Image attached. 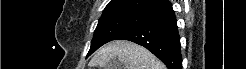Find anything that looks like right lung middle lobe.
Wrapping results in <instances>:
<instances>
[{
  "instance_id": "1",
  "label": "right lung middle lobe",
  "mask_w": 246,
  "mask_h": 69,
  "mask_svg": "<svg viewBox=\"0 0 246 69\" xmlns=\"http://www.w3.org/2000/svg\"><path fill=\"white\" fill-rule=\"evenodd\" d=\"M142 20V15H121L100 19L95 29L88 55H91L105 43L114 40L126 30L132 28Z\"/></svg>"
}]
</instances>
